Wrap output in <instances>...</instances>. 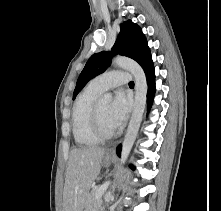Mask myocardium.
Instances as JSON below:
<instances>
[{"label":"myocardium","mask_w":221,"mask_h":211,"mask_svg":"<svg viewBox=\"0 0 221 211\" xmlns=\"http://www.w3.org/2000/svg\"><path fill=\"white\" fill-rule=\"evenodd\" d=\"M91 126L94 134L99 138L100 140H110L117 136L118 132L112 131V132H107L100 119L99 115V109H98V102H95L92 112H91Z\"/></svg>","instance_id":"1"}]
</instances>
